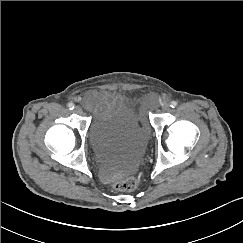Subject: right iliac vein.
Listing matches in <instances>:
<instances>
[{
	"mask_svg": "<svg viewBox=\"0 0 243 243\" xmlns=\"http://www.w3.org/2000/svg\"><path fill=\"white\" fill-rule=\"evenodd\" d=\"M74 112L81 115L83 113V110L80 106H76Z\"/></svg>",
	"mask_w": 243,
	"mask_h": 243,
	"instance_id": "right-iliac-vein-1",
	"label": "right iliac vein"
}]
</instances>
